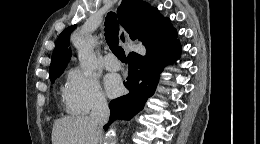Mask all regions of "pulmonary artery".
I'll return each mask as SVG.
<instances>
[{"label": "pulmonary artery", "instance_id": "pulmonary-artery-1", "mask_svg": "<svg viewBox=\"0 0 260 144\" xmlns=\"http://www.w3.org/2000/svg\"><path fill=\"white\" fill-rule=\"evenodd\" d=\"M104 65L108 70L116 71L121 68V64L113 54H108L104 58Z\"/></svg>", "mask_w": 260, "mask_h": 144}]
</instances>
